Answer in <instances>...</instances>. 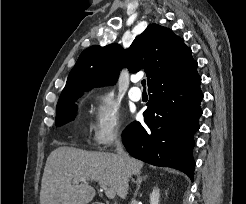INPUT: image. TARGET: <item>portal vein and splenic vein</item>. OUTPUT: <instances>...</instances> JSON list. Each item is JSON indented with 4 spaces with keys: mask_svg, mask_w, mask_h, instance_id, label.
I'll list each match as a JSON object with an SVG mask.
<instances>
[{
    "mask_svg": "<svg viewBox=\"0 0 246 204\" xmlns=\"http://www.w3.org/2000/svg\"><path fill=\"white\" fill-rule=\"evenodd\" d=\"M99 186L105 192L107 197H109V198H114L115 197V191H114L113 188L108 187L107 185H105L103 183H99Z\"/></svg>",
    "mask_w": 246,
    "mask_h": 204,
    "instance_id": "portal-vein-and-splenic-vein-1",
    "label": "portal vein and splenic vein"
}]
</instances>
